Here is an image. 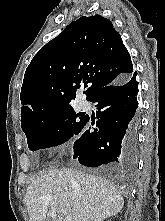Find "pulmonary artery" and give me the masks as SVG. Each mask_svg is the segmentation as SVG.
<instances>
[{
  "mask_svg": "<svg viewBox=\"0 0 165 221\" xmlns=\"http://www.w3.org/2000/svg\"><path fill=\"white\" fill-rule=\"evenodd\" d=\"M81 107L82 108H87L88 107V102H86V101L81 102Z\"/></svg>",
  "mask_w": 165,
  "mask_h": 221,
  "instance_id": "e3ab8cb5",
  "label": "pulmonary artery"
}]
</instances>
